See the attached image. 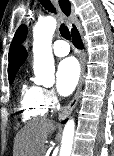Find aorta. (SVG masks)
<instances>
[{"mask_svg":"<svg viewBox=\"0 0 114 156\" xmlns=\"http://www.w3.org/2000/svg\"><path fill=\"white\" fill-rule=\"evenodd\" d=\"M57 22L53 17H46L38 22L33 30V58L35 82L49 86L54 83V59L52 54V37ZM75 123L70 119L63 130L62 146L59 156H70L73 145Z\"/></svg>","mask_w":114,"mask_h":156,"instance_id":"obj_1","label":"aorta"}]
</instances>
